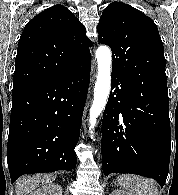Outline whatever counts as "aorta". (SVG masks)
<instances>
[{
	"label": "aorta",
	"mask_w": 178,
	"mask_h": 195,
	"mask_svg": "<svg viewBox=\"0 0 178 195\" xmlns=\"http://www.w3.org/2000/svg\"><path fill=\"white\" fill-rule=\"evenodd\" d=\"M98 76L94 88V99L90 108L89 130L96 126L97 119L103 112L108 100L111 86V51L107 46H100L96 50ZM92 137V136H91Z\"/></svg>",
	"instance_id": "762f6f07"
}]
</instances>
